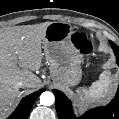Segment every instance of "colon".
Wrapping results in <instances>:
<instances>
[{
  "instance_id": "1",
  "label": "colon",
  "mask_w": 119,
  "mask_h": 119,
  "mask_svg": "<svg viewBox=\"0 0 119 119\" xmlns=\"http://www.w3.org/2000/svg\"><path fill=\"white\" fill-rule=\"evenodd\" d=\"M73 43L82 55L90 53L92 47L91 44L87 41L85 36L81 34L74 35Z\"/></svg>"
}]
</instances>
